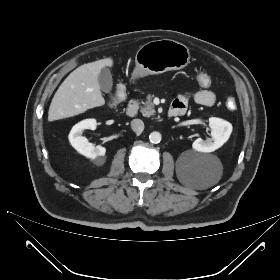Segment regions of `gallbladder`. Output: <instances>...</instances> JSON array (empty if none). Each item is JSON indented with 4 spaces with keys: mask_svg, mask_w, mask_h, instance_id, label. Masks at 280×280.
<instances>
[{
    "mask_svg": "<svg viewBox=\"0 0 280 280\" xmlns=\"http://www.w3.org/2000/svg\"><path fill=\"white\" fill-rule=\"evenodd\" d=\"M98 82L101 90L109 95L110 100L116 101L117 97L111 93L113 82L111 72L108 68L105 67L101 70L98 75Z\"/></svg>",
    "mask_w": 280,
    "mask_h": 280,
    "instance_id": "obj_1",
    "label": "gallbladder"
}]
</instances>
